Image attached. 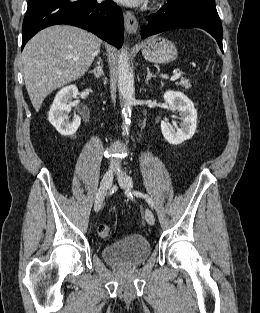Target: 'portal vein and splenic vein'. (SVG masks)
Returning a JSON list of instances; mask_svg holds the SVG:
<instances>
[{"label": "portal vein and splenic vein", "instance_id": "obj_1", "mask_svg": "<svg viewBox=\"0 0 260 313\" xmlns=\"http://www.w3.org/2000/svg\"><path fill=\"white\" fill-rule=\"evenodd\" d=\"M180 76H181V73H175V74L170 78V80H171V81H175V80L178 79Z\"/></svg>", "mask_w": 260, "mask_h": 313}]
</instances>
